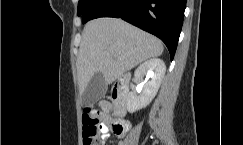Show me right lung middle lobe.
<instances>
[{"mask_svg": "<svg viewBox=\"0 0 243 145\" xmlns=\"http://www.w3.org/2000/svg\"><path fill=\"white\" fill-rule=\"evenodd\" d=\"M95 0H79L78 2V9L77 14L78 16H82V14L85 12V10L90 6L92 2Z\"/></svg>", "mask_w": 243, "mask_h": 145, "instance_id": "1", "label": "right lung middle lobe"}]
</instances>
